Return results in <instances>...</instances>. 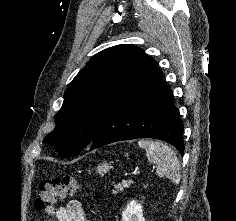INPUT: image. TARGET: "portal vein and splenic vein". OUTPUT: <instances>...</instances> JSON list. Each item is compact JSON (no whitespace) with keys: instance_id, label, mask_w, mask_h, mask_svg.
<instances>
[{"instance_id":"portal-vein-and-splenic-vein-1","label":"portal vein and splenic vein","mask_w":236,"mask_h":221,"mask_svg":"<svg viewBox=\"0 0 236 221\" xmlns=\"http://www.w3.org/2000/svg\"><path fill=\"white\" fill-rule=\"evenodd\" d=\"M140 173V170H136L135 171V174H139ZM128 185V181H126V180H124L123 182H122V186L123 187H126Z\"/></svg>"}]
</instances>
